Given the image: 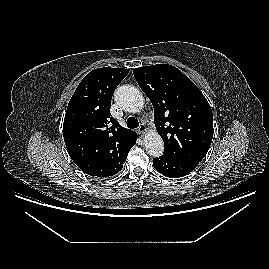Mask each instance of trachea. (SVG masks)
<instances>
[{"label":"trachea","instance_id":"trachea-1","mask_svg":"<svg viewBox=\"0 0 269 269\" xmlns=\"http://www.w3.org/2000/svg\"><path fill=\"white\" fill-rule=\"evenodd\" d=\"M126 124H127V127L131 128V129H135V128H137L139 126L138 120L135 119L134 117H129L127 119Z\"/></svg>","mask_w":269,"mask_h":269}]
</instances>
